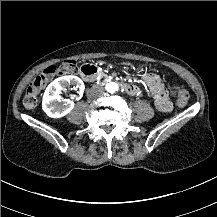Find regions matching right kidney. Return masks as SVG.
<instances>
[{
  "instance_id": "obj_1",
  "label": "right kidney",
  "mask_w": 217,
  "mask_h": 217,
  "mask_svg": "<svg viewBox=\"0 0 217 217\" xmlns=\"http://www.w3.org/2000/svg\"><path fill=\"white\" fill-rule=\"evenodd\" d=\"M66 86H74L76 91L79 90L80 97L85 90L84 82L77 76H62L54 80L48 85L42 98V109L48 117L62 118L74 108L75 103L73 101L64 100L63 104L58 103V101L63 100L61 93Z\"/></svg>"
}]
</instances>
